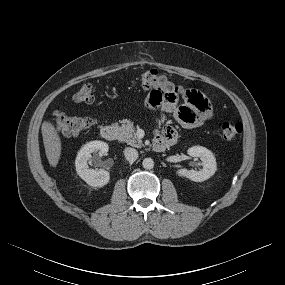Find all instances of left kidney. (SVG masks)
Wrapping results in <instances>:
<instances>
[{
	"label": "left kidney",
	"mask_w": 285,
	"mask_h": 285,
	"mask_svg": "<svg viewBox=\"0 0 285 285\" xmlns=\"http://www.w3.org/2000/svg\"><path fill=\"white\" fill-rule=\"evenodd\" d=\"M187 152L192 157H199L203 167L199 171L181 168L177 170L178 176L186 177L194 182H202L215 174L217 169L216 159L210 150L202 146H193Z\"/></svg>",
	"instance_id": "1"
}]
</instances>
